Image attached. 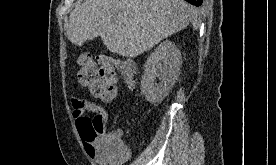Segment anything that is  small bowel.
I'll use <instances>...</instances> for the list:
<instances>
[{"instance_id":"c3829d8e","label":"small bowel","mask_w":276,"mask_h":165,"mask_svg":"<svg viewBox=\"0 0 276 165\" xmlns=\"http://www.w3.org/2000/svg\"><path fill=\"white\" fill-rule=\"evenodd\" d=\"M73 107V117L76 120V123L82 118L87 116V113H94L93 120L98 122L104 131V133L111 135L119 143V147L122 150V155H118L109 151L106 147L105 142H99L93 146H88L84 143L86 152L88 155L93 158L100 165H119L123 163L129 156V149L123 142V131L118 129L112 133H107L106 124L109 121V112L101 103L93 102L90 100H81L73 98L72 101Z\"/></svg>"}]
</instances>
